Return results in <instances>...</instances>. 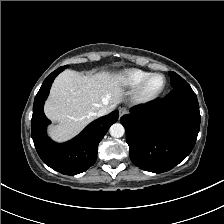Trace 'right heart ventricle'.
I'll use <instances>...</instances> for the list:
<instances>
[{"label": "right heart ventricle", "mask_w": 224, "mask_h": 224, "mask_svg": "<svg viewBox=\"0 0 224 224\" xmlns=\"http://www.w3.org/2000/svg\"><path fill=\"white\" fill-rule=\"evenodd\" d=\"M149 73L137 68L126 69L120 73L118 80L127 87H136Z\"/></svg>", "instance_id": "1"}]
</instances>
